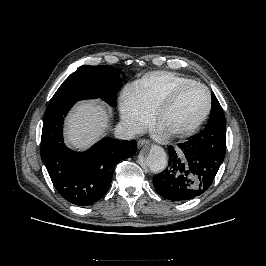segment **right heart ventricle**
Returning a JSON list of instances; mask_svg holds the SVG:
<instances>
[{
    "instance_id": "1",
    "label": "right heart ventricle",
    "mask_w": 266,
    "mask_h": 266,
    "mask_svg": "<svg viewBox=\"0 0 266 266\" xmlns=\"http://www.w3.org/2000/svg\"><path fill=\"white\" fill-rule=\"evenodd\" d=\"M194 81L188 77L169 71H154L133 82L129 89L150 113L160 100L174 87Z\"/></svg>"
}]
</instances>
